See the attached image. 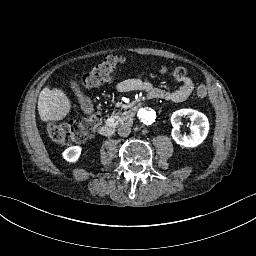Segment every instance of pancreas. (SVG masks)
<instances>
[{"mask_svg": "<svg viewBox=\"0 0 256 256\" xmlns=\"http://www.w3.org/2000/svg\"><path fill=\"white\" fill-rule=\"evenodd\" d=\"M131 118H134L130 115L129 111L121 112V113H113L109 116V120L107 121L108 125L116 127L118 124H130L129 121Z\"/></svg>", "mask_w": 256, "mask_h": 256, "instance_id": "pancreas-1", "label": "pancreas"}]
</instances>
